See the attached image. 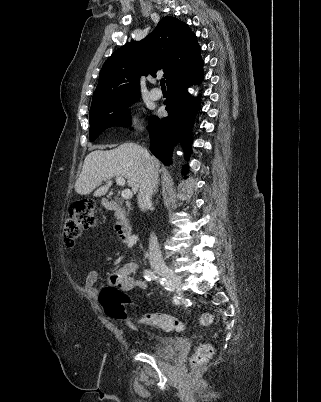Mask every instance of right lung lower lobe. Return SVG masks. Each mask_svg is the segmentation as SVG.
<instances>
[{
	"instance_id": "obj_1",
	"label": "right lung lower lobe",
	"mask_w": 321,
	"mask_h": 402,
	"mask_svg": "<svg viewBox=\"0 0 321 402\" xmlns=\"http://www.w3.org/2000/svg\"><path fill=\"white\" fill-rule=\"evenodd\" d=\"M202 66L181 74L167 84L168 97L164 101L168 117L159 119L152 116L149 122L150 150L165 165H170L172 148L178 140L190 134L194 116L200 109L198 98L189 95L187 88L203 79ZM188 158L191 147H184ZM187 168V167H185Z\"/></svg>"
}]
</instances>
